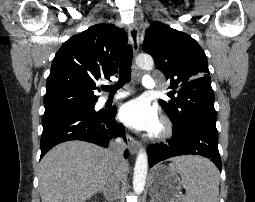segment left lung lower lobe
<instances>
[{"label":"left lung lower lobe","mask_w":255,"mask_h":202,"mask_svg":"<svg viewBox=\"0 0 255 202\" xmlns=\"http://www.w3.org/2000/svg\"><path fill=\"white\" fill-rule=\"evenodd\" d=\"M147 150L150 167L170 157L191 154L210 158L221 171L217 129L194 126L182 131L174 130L168 143L151 144Z\"/></svg>","instance_id":"obj_1"}]
</instances>
